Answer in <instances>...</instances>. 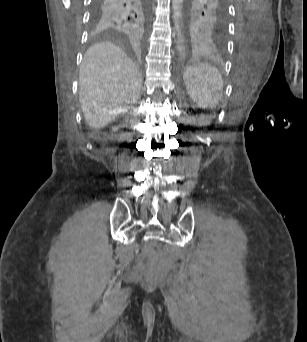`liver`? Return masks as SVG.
<instances>
[{
    "label": "liver",
    "instance_id": "1",
    "mask_svg": "<svg viewBox=\"0 0 307 342\" xmlns=\"http://www.w3.org/2000/svg\"><path fill=\"white\" fill-rule=\"evenodd\" d=\"M141 76L125 52L100 42L88 48L79 70V100L83 116L91 128H104L136 104L141 92Z\"/></svg>",
    "mask_w": 307,
    "mask_h": 342
}]
</instances>
